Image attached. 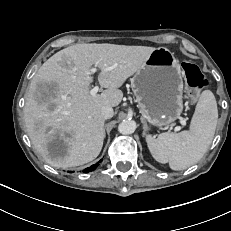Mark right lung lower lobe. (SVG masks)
Returning <instances> with one entry per match:
<instances>
[{"mask_svg": "<svg viewBox=\"0 0 231 231\" xmlns=\"http://www.w3.org/2000/svg\"><path fill=\"white\" fill-rule=\"evenodd\" d=\"M102 160H103V159H101V160H100L99 162H97L96 164L90 166L89 168H86V169L84 170V172H90V171L95 170V169L98 167L99 163H100Z\"/></svg>", "mask_w": 231, "mask_h": 231, "instance_id": "obj_1", "label": "right lung lower lobe"}]
</instances>
